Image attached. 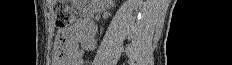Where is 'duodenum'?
Listing matches in <instances>:
<instances>
[{
  "instance_id": "duodenum-1",
  "label": "duodenum",
  "mask_w": 232,
  "mask_h": 65,
  "mask_svg": "<svg viewBox=\"0 0 232 65\" xmlns=\"http://www.w3.org/2000/svg\"><path fill=\"white\" fill-rule=\"evenodd\" d=\"M76 5L83 15V22L90 32L94 31V25L90 19V8L87 1H77Z\"/></svg>"
}]
</instances>
